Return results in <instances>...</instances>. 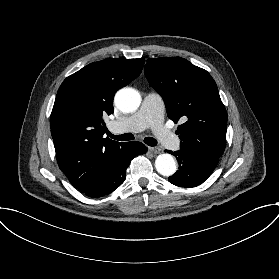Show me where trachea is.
I'll return each instance as SVG.
<instances>
[{
	"label": "trachea",
	"instance_id": "trachea-1",
	"mask_svg": "<svg viewBox=\"0 0 279 279\" xmlns=\"http://www.w3.org/2000/svg\"><path fill=\"white\" fill-rule=\"evenodd\" d=\"M107 135L115 140H119V141H128V140H133L135 137L132 133H125L122 135H113L112 133H110L109 131H107ZM147 145L149 146H155L157 144V141L152 138V137H146L143 140Z\"/></svg>",
	"mask_w": 279,
	"mask_h": 279
}]
</instances>
